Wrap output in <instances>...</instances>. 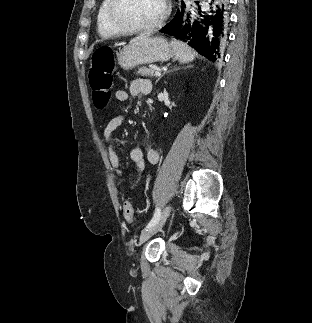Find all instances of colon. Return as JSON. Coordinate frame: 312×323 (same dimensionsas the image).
Segmentation results:
<instances>
[{"mask_svg": "<svg viewBox=\"0 0 312 323\" xmlns=\"http://www.w3.org/2000/svg\"><path fill=\"white\" fill-rule=\"evenodd\" d=\"M114 52L109 46L99 47L91 57L89 81L92 101L96 107H104L110 99V89L114 85ZM119 170V167H116ZM124 217L134 221L133 206L129 200L124 202Z\"/></svg>", "mask_w": 312, "mask_h": 323, "instance_id": "colon-1", "label": "colon"}]
</instances>
